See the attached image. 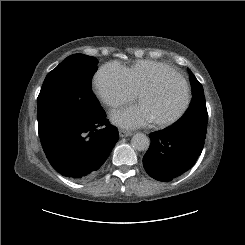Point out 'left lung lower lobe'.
I'll return each mask as SVG.
<instances>
[{
	"mask_svg": "<svg viewBox=\"0 0 245 245\" xmlns=\"http://www.w3.org/2000/svg\"><path fill=\"white\" fill-rule=\"evenodd\" d=\"M150 139L143 165L146 172L159 181H171L192 168L205 140L192 132L168 128L151 133Z\"/></svg>",
	"mask_w": 245,
	"mask_h": 245,
	"instance_id": "left-lung-lower-lobe-1",
	"label": "left lung lower lobe"
}]
</instances>
